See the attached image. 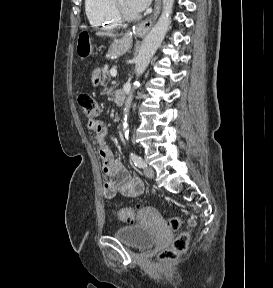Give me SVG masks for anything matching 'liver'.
Segmentation results:
<instances>
[{"label": "liver", "mask_w": 273, "mask_h": 288, "mask_svg": "<svg viewBox=\"0 0 273 288\" xmlns=\"http://www.w3.org/2000/svg\"><path fill=\"white\" fill-rule=\"evenodd\" d=\"M97 36H107V37H116L117 35L111 32H103V31H98L96 32Z\"/></svg>", "instance_id": "obj_1"}]
</instances>
